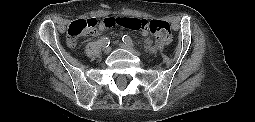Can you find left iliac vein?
Returning a JSON list of instances; mask_svg holds the SVG:
<instances>
[{"label": "left iliac vein", "instance_id": "1", "mask_svg": "<svg viewBox=\"0 0 255 122\" xmlns=\"http://www.w3.org/2000/svg\"><path fill=\"white\" fill-rule=\"evenodd\" d=\"M119 47L125 49V50H128L130 52H132L133 54L135 55H139V52L134 50L131 46L125 44V43H119Z\"/></svg>", "mask_w": 255, "mask_h": 122}]
</instances>
